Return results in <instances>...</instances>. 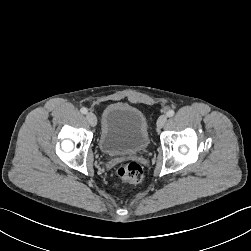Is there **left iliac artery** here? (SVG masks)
Masks as SVG:
<instances>
[{
	"label": "left iliac artery",
	"mask_w": 251,
	"mask_h": 251,
	"mask_svg": "<svg viewBox=\"0 0 251 251\" xmlns=\"http://www.w3.org/2000/svg\"><path fill=\"white\" fill-rule=\"evenodd\" d=\"M174 114H175V112H174L173 110H169V111L166 113V115H167L168 117H172V116H174Z\"/></svg>",
	"instance_id": "obj_1"
}]
</instances>
